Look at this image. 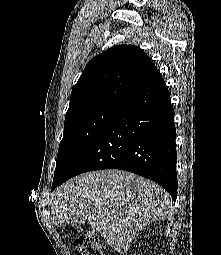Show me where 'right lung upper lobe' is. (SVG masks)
Listing matches in <instances>:
<instances>
[{
  "mask_svg": "<svg viewBox=\"0 0 221 255\" xmlns=\"http://www.w3.org/2000/svg\"><path fill=\"white\" fill-rule=\"evenodd\" d=\"M160 77L140 48L114 46L88 62L72 89L66 117L100 105H120Z\"/></svg>",
  "mask_w": 221,
  "mask_h": 255,
  "instance_id": "1",
  "label": "right lung upper lobe"
}]
</instances>
